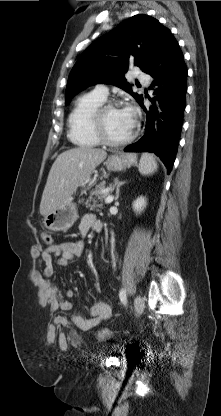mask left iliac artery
Masks as SVG:
<instances>
[{"mask_svg": "<svg viewBox=\"0 0 221 416\" xmlns=\"http://www.w3.org/2000/svg\"><path fill=\"white\" fill-rule=\"evenodd\" d=\"M119 297H120L121 302L124 305H126V303H127V297H126V290L125 289H121L120 290Z\"/></svg>", "mask_w": 221, "mask_h": 416, "instance_id": "44dca946", "label": "left iliac artery"}]
</instances>
